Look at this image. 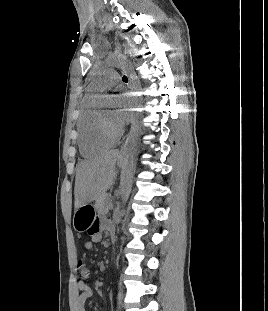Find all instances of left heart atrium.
<instances>
[{"label": "left heart atrium", "mask_w": 268, "mask_h": 311, "mask_svg": "<svg viewBox=\"0 0 268 311\" xmlns=\"http://www.w3.org/2000/svg\"><path fill=\"white\" fill-rule=\"evenodd\" d=\"M115 97L118 99L117 105L121 106L124 105L125 102L120 101V98L125 97L124 94H117ZM129 109H117L115 112V120L117 121L118 124L123 125L127 120H128V114L126 111Z\"/></svg>", "instance_id": "left-heart-atrium-1"}]
</instances>
